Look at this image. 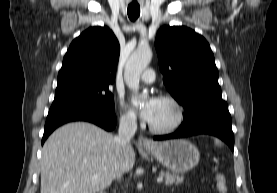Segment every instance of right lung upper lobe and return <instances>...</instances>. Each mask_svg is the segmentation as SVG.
I'll use <instances>...</instances> for the list:
<instances>
[{"label":"right lung upper lobe","mask_w":277,"mask_h":193,"mask_svg":"<svg viewBox=\"0 0 277 193\" xmlns=\"http://www.w3.org/2000/svg\"><path fill=\"white\" fill-rule=\"evenodd\" d=\"M119 42L107 27H91L71 43L58 74L56 92L114 82Z\"/></svg>","instance_id":"cb5924a9"}]
</instances>
